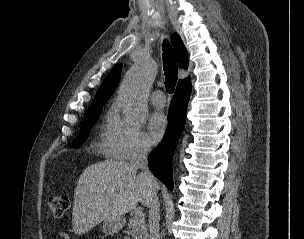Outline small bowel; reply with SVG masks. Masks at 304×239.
Instances as JSON below:
<instances>
[{"instance_id": "small-bowel-1", "label": "small bowel", "mask_w": 304, "mask_h": 239, "mask_svg": "<svg viewBox=\"0 0 304 239\" xmlns=\"http://www.w3.org/2000/svg\"><path fill=\"white\" fill-rule=\"evenodd\" d=\"M57 237H58L59 239H69L68 234L65 233V232H63V231L58 232Z\"/></svg>"}]
</instances>
